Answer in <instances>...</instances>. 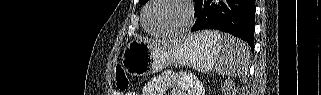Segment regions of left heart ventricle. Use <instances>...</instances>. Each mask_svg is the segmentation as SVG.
<instances>
[{
	"label": "left heart ventricle",
	"instance_id": "obj_1",
	"mask_svg": "<svg viewBox=\"0 0 321 95\" xmlns=\"http://www.w3.org/2000/svg\"><path fill=\"white\" fill-rule=\"evenodd\" d=\"M186 20V8L177 0H158L147 14L148 27L158 33L179 29Z\"/></svg>",
	"mask_w": 321,
	"mask_h": 95
}]
</instances>
